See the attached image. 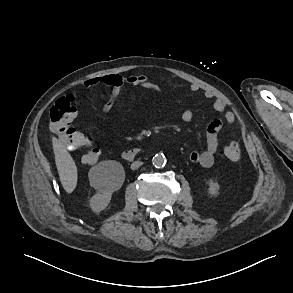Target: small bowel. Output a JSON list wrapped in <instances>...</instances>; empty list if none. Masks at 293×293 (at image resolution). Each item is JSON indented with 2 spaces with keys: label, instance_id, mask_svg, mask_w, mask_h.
I'll list each match as a JSON object with an SVG mask.
<instances>
[{
  "label": "small bowel",
  "instance_id": "c3829d8e",
  "mask_svg": "<svg viewBox=\"0 0 293 293\" xmlns=\"http://www.w3.org/2000/svg\"><path fill=\"white\" fill-rule=\"evenodd\" d=\"M127 85L144 87L151 92L159 91V87L150 82L148 76L143 74L131 75L129 77H122L120 75L113 74L91 77L86 79L80 87L92 88L106 86L111 88L110 93L104 99L101 106L102 114L104 116H108L121 91ZM190 90L192 92H198L201 90V87L197 83H192L190 85ZM203 95L206 99L213 100V109L216 113L223 114V121L216 119L208 125L204 150L192 151L190 154V160L191 162L199 164L203 167H210L214 163L215 155L218 149V134L224 129L225 126L231 127L234 124L235 115L231 111H225V103L221 99L217 98L212 91L205 90ZM192 119V111L189 109L184 110L182 113V120L188 124L191 123Z\"/></svg>",
  "mask_w": 293,
  "mask_h": 293
}]
</instances>
